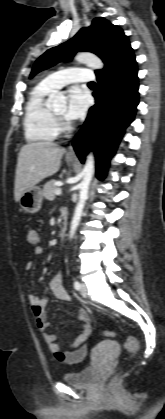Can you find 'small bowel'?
Listing matches in <instances>:
<instances>
[{
  "mask_svg": "<svg viewBox=\"0 0 165 419\" xmlns=\"http://www.w3.org/2000/svg\"><path fill=\"white\" fill-rule=\"evenodd\" d=\"M32 235L36 237L35 241L32 240ZM27 237L28 241L31 244H34L32 254L35 257L41 256L43 254V248L40 245H37L40 240L38 232L30 229L28 230ZM33 265V262L29 261L25 266L26 271L29 272L33 268ZM50 289L59 300L64 302L70 301V295L63 286V273L61 271L56 273L52 278ZM29 303L32 308L37 328L43 333L44 340L57 361L65 364H76L83 361L89 352L87 340L91 333V323L88 312L83 308L78 310L77 317L82 324L80 331L68 347L64 348L56 342V335L46 332L49 323L45 318L44 308L48 303V299L46 297L30 294Z\"/></svg>",
  "mask_w": 165,
  "mask_h": 419,
  "instance_id": "obj_1",
  "label": "small bowel"
}]
</instances>
